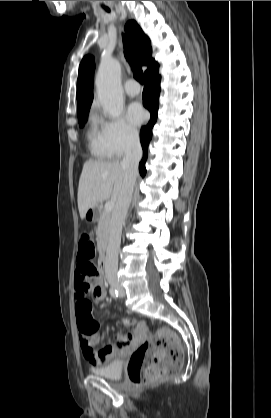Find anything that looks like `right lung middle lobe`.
Masks as SVG:
<instances>
[{"label": "right lung middle lobe", "mask_w": 271, "mask_h": 418, "mask_svg": "<svg viewBox=\"0 0 271 418\" xmlns=\"http://www.w3.org/2000/svg\"><path fill=\"white\" fill-rule=\"evenodd\" d=\"M87 115H88V113L78 116V121H79L80 127H83L85 122L87 121Z\"/></svg>", "instance_id": "dd1d6c3e"}]
</instances>
